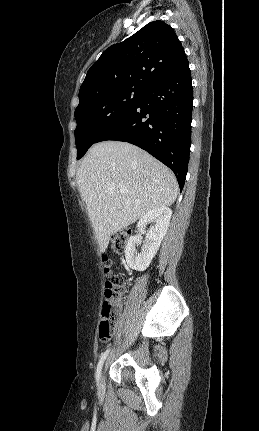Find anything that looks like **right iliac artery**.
I'll use <instances>...</instances> for the list:
<instances>
[{
  "label": "right iliac artery",
  "mask_w": 259,
  "mask_h": 431,
  "mask_svg": "<svg viewBox=\"0 0 259 431\" xmlns=\"http://www.w3.org/2000/svg\"><path fill=\"white\" fill-rule=\"evenodd\" d=\"M108 353H109V349H107V350L102 354V356H101V358H100V360H99V362H98L97 370H96V381H97V383H99V379H100V376H101V370H102V367H103V363H104V361H105V359H106V357H107Z\"/></svg>",
  "instance_id": "obj_1"
}]
</instances>
